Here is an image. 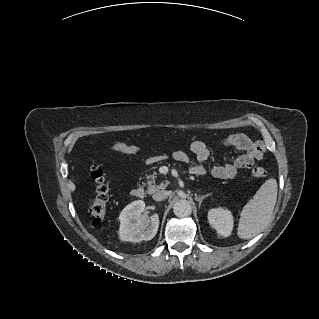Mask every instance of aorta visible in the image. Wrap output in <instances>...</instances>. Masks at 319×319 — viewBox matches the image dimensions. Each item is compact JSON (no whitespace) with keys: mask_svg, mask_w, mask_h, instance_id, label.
I'll return each instance as SVG.
<instances>
[{"mask_svg":"<svg viewBox=\"0 0 319 319\" xmlns=\"http://www.w3.org/2000/svg\"><path fill=\"white\" fill-rule=\"evenodd\" d=\"M173 212L179 218L188 217L192 212L191 204L185 199L178 200L173 206Z\"/></svg>","mask_w":319,"mask_h":319,"instance_id":"aorta-1","label":"aorta"}]
</instances>
